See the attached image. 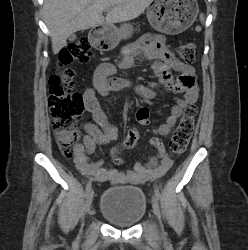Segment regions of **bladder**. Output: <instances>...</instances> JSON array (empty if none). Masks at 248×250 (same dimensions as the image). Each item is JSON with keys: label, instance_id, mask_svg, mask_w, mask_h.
I'll return each instance as SVG.
<instances>
[{"label": "bladder", "instance_id": "bladder-1", "mask_svg": "<svg viewBox=\"0 0 248 250\" xmlns=\"http://www.w3.org/2000/svg\"><path fill=\"white\" fill-rule=\"evenodd\" d=\"M144 191L134 186H117L104 191L99 201V212L119 227H131L146 214Z\"/></svg>", "mask_w": 248, "mask_h": 250}]
</instances>
